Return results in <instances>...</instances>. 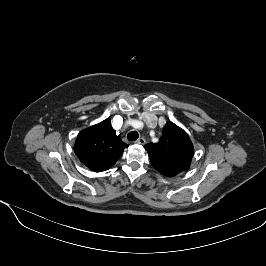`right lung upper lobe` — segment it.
Returning a JSON list of instances; mask_svg holds the SVG:
<instances>
[{
	"label": "right lung upper lobe",
	"mask_w": 266,
	"mask_h": 266,
	"mask_svg": "<svg viewBox=\"0 0 266 266\" xmlns=\"http://www.w3.org/2000/svg\"><path fill=\"white\" fill-rule=\"evenodd\" d=\"M128 147L116 135L110 119L81 131L76 139L74 151L79 160L94 172L109 169Z\"/></svg>",
	"instance_id": "1"
}]
</instances>
